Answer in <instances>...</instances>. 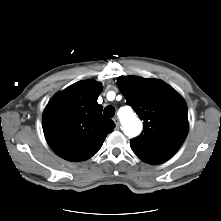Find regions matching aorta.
Here are the masks:
<instances>
[{"mask_svg":"<svg viewBox=\"0 0 221 221\" xmlns=\"http://www.w3.org/2000/svg\"><path fill=\"white\" fill-rule=\"evenodd\" d=\"M124 109V108H123ZM124 113H121V123L124 128V133L127 136L134 137L138 135L142 129L141 121L133 114L132 110L125 108Z\"/></svg>","mask_w":221,"mask_h":221,"instance_id":"aorta-1","label":"aorta"}]
</instances>
